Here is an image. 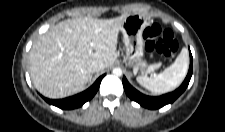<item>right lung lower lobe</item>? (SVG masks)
<instances>
[{
    "label": "right lung lower lobe",
    "mask_w": 225,
    "mask_h": 132,
    "mask_svg": "<svg viewBox=\"0 0 225 132\" xmlns=\"http://www.w3.org/2000/svg\"><path fill=\"white\" fill-rule=\"evenodd\" d=\"M104 75L99 77L96 82L87 90H85L82 93H79L75 96L68 97L65 99H59V100H51L44 98L46 102H48L51 105L57 106L61 109H74L82 106L85 102L92 99V97L96 94V92L99 89L100 82Z\"/></svg>",
    "instance_id": "right-lung-lower-lobe-1"
}]
</instances>
